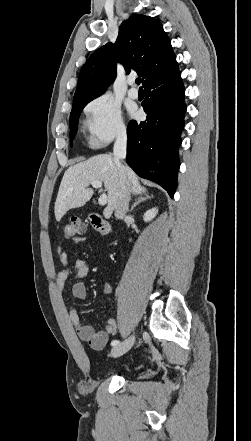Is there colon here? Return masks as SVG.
<instances>
[{
  "mask_svg": "<svg viewBox=\"0 0 251 441\" xmlns=\"http://www.w3.org/2000/svg\"><path fill=\"white\" fill-rule=\"evenodd\" d=\"M85 227L82 221L77 217H71L63 225L62 234L65 238H75L84 233Z\"/></svg>",
  "mask_w": 251,
  "mask_h": 441,
  "instance_id": "1",
  "label": "colon"
}]
</instances>
